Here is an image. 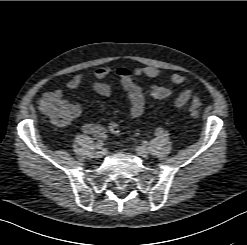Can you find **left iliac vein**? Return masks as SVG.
I'll return each instance as SVG.
<instances>
[{
    "label": "left iliac vein",
    "instance_id": "left-iliac-vein-1",
    "mask_svg": "<svg viewBox=\"0 0 247 245\" xmlns=\"http://www.w3.org/2000/svg\"><path fill=\"white\" fill-rule=\"evenodd\" d=\"M136 152L142 157H147L149 155V150L146 146H138L136 148Z\"/></svg>",
    "mask_w": 247,
    "mask_h": 245
}]
</instances>
